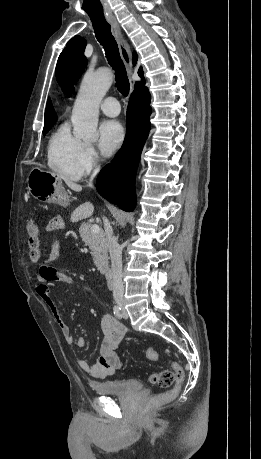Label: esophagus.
<instances>
[{
    "label": "esophagus",
    "mask_w": 261,
    "mask_h": 459,
    "mask_svg": "<svg viewBox=\"0 0 261 459\" xmlns=\"http://www.w3.org/2000/svg\"><path fill=\"white\" fill-rule=\"evenodd\" d=\"M109 23L111 24L112 26V29H113V32H114V35H115V38H116V41H117V44H118V48H119V52H120V56L125 64V67L127 69V73L129 75V80H130V90L133 91L134 90V80L131 78V75L133 73V64H132V56H131V50H130V47L121 31V28L116 20L115 17H111L109 18Z\"/></svg>",
    "instance_id": "34e87169"
}]
</instances>
